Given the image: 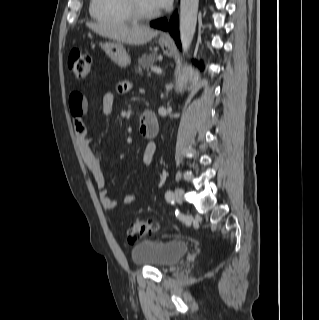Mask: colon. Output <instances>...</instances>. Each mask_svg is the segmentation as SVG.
Returning <instances> with one entry per match:
<instances>
[{"mask_svg":"<svg viewBox=\"0 0 319 320\" xmlns=\"http://www.w3.org/2000/svg\"><path fill=\"white\" fill-rule=\"evenodd\" d=\"M69 69L78 79H84L91 71L92 58L90 54L80 49H73L68 59ZM159 228L156 218L148 220L135 219L126 229V237L129 241H135L138 238L155 233Z\"/></svg>","mask_w":319,"mask_h":320,"instance_id":"1","label":"colon"}]
</instances>
